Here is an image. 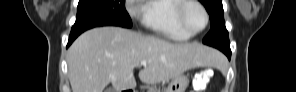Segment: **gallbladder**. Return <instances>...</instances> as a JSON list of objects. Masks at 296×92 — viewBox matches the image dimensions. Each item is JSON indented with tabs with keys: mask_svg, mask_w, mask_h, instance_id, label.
<instances>
[{
	"mask_svg": "<svg viewBox=\"0 0 296 92\" xmlns=\"http://www.w3.org/2000/svg\"><path fill=\"white\" fill-rule=\"evenodd\" d=\"M105 92H115V90L112 87H110Z\"/></svg>",
	"mask_w": 296,
	"mask_h": 92,
	"instance_id": "gallbladder-1",
	"label": "gallbladder"
}]
</instances>
